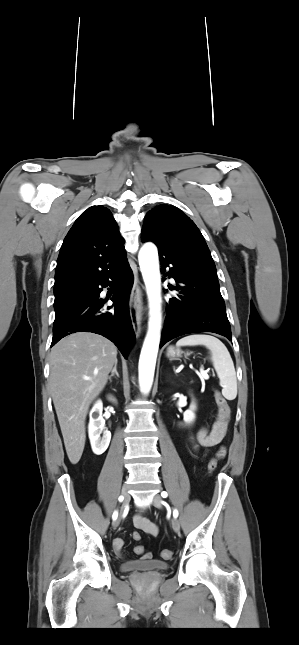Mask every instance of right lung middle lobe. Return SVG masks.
Listing matches in <instances>:
<instances>
[{
    "instance_id": "dd1d6c3e",
    "label": "right lung middle lobe",
    "mask_w": 299,
    "mask_h": 645,
    "mask_svg": "<svg viewBox=\"0 0 299 645\" xmlns=\"http://www.w3.org/2000/svg\"><path fill=\"white\" fill-rule=\"evenodd\" d=\"M85 285H75L70 286L64 289L54 291L55 301L54 309L55 313L61 312L68 305L79 299L83 296Z\"/></svg>"
}]
</instances>
